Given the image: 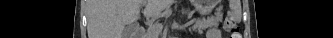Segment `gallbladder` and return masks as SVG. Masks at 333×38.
<instances>
[{
	"label": "gallbladder",
	"instance_id": "bac80fb5",
	"mask_svg": "<svg viewBox=\"0 0 333 38\" xmlns=\"http://www.w3.org/2000/svg\"><path fill=\"white\" fill-rule=\"evenodd\" d=\"M135 36L133 26H128L123 31V38H133Z\"/></svg>",
	"mask_w": 333,
	"mask_h": 38
}]
</instances>
